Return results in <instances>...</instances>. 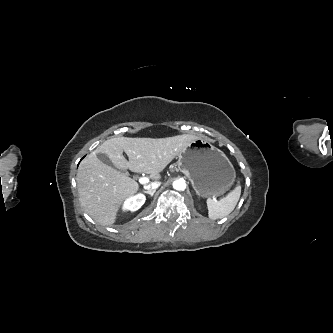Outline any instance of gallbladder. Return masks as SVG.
<instances>
[{
    "label": "gallbladder",
    "instance_id": "bac80fb5",
    "mask_svg": "<svg viewBox=\"0 0 333 333\" xmlns=\"http://www.w3.org/2000/svg\"><path fill=\"white\" fill-rule=\"evenodd\" d=\"M98 159L100 161H102L103 163L112 166L111 161L109 160V158L105 154L99 153L98 154ZM120 172L123 173V174H128V172L126 170H120Z\"/></svg>",
    "mask_w": 333,
    "mask_h": 333
}]
</instances>
